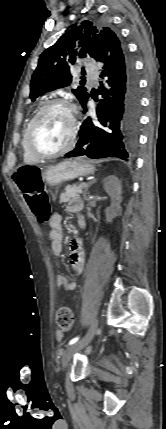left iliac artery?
I'll use <instances>...</instances> for the list:
<instances>
[{
    "instance_id": "left-iliac-artery-1",
    "label": "left iliac artery",
    "mask_w": 166,
    "mask_h": 429,
    "mask_svg": "<svg viewBox=\"0 0 166 429\" xmlns=\"http://www.w3.org/2000/svg\"><path fill=\"white\" fill-rule=\"evenodd\" d=\"M79 339H80V337H75V338L71 339L69 341L68 345H72V344L76 343Z\"/></svg>"
}]
</instances>
